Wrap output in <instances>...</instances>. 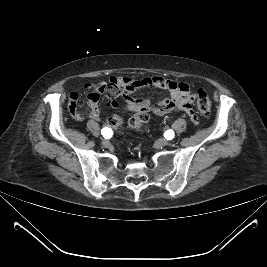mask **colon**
I'll return each mask as SVG.
<instances>
[{"mask_svg":"<svg viewBox=\"0 0 267 267\" xmlns=\"http://www.w3.org/2000/svg\"><path fill=\"white\" fill-rule=\"evenodd\" d=\"M196 104L198 110L203 113L207 114L211 110V100L204 89L197 90V100ZM149 119V112L145 109H139V111L130 119L129 125L132 129L139 130L142 128L145 122ZM107 124L109 127L113 128L114 130L119 129L121 125V117L117 114L112 115L109 117Z\"/></svg>","mask_w":267,"mask_h":267,"instance_id":"1","label":"colon"}]
</instances>
